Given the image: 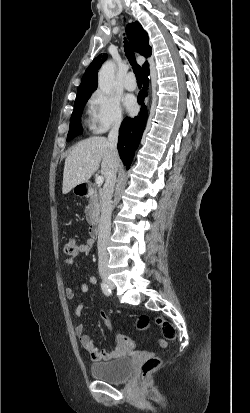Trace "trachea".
I'll return each mask as SVG.
<instances>
[{"label": "trachea", "instance_id": "obj_1", "mask_svg": "<svg viewBox=\"0 0 250 413\" xmlns=\"http://www.w3.org/2000/svg\"><path fill=\"white\" fill-rule=\"evenodd\" d=\"M125 55L128 58L130 64L132 65L134 74L136 76L137 83H142V72L141 67L135 61V54L133 52L132 47L125 41Z\"/></svg>", "mask_w": 250, "mask_h": 413}]
</instances>
